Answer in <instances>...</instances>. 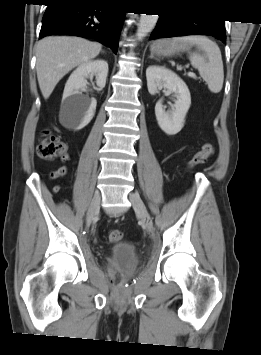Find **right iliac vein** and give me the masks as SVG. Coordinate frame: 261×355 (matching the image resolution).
Returning <instances> with one entry per match:
<instances>
[{
  "label": "right iliac vein",
  "mask_w": 261,
  "mask_h": 355,
  "mask_svg": "<svg viewBox=\"0 0 261 355\" xmlns=\"http://www.w3.org/2000/svg\"><path fill=\"white\" fill-rule=\"evenodd\" d=\"M101 203V196L99 192H96L90 203L89 209L86 215V225L89 226L94 217L99 213Z\"/></svg>",
  "instance_id": "1"
}]
</instances>
